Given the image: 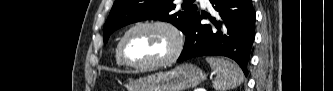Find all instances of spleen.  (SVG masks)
I'll use <instances>...</instances> for the list:
<instances>
[{
    "label": "spleen",
    "mask_w": 333,
    "mask_h": 91,
    "mask_svg": "<svg viewBox=\"0 0 333 91\" xmlns=\"http://www.w3.org/2000/svg\"><path fill=\"white\" fill-rule=\"evenodd\" d=\"M206 61L216 73V78L213 81V87L216 91H228L243 82V72L236 63L215 57H206Z\"/></svg>",
    "instance_id": "obj_1"
}]
</instances>
